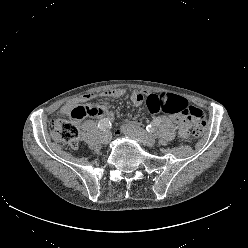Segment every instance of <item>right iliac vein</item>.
Instances as JSON below:
<instances>
[{
	"instance_id": "obj_1",
	"label": "right iliac vein",
	"mask_w": 248,
	"mask_h": 248,
	"mask_svg": "<svg viewBox=\"0 0 248 248\" xmlns=\"http://www.w3.org/2000/svg\"><path fill=\"white\" fill-rule=\"evenodd\" d=\"M111 140V133L109 131H106L102 134L101 136V142L104 144V145H107Z\"/></svg>"
}]
</instances>
